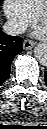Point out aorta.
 <instances>
[{"label":"aorta","mask_w":47,"mask_h":129,"mask_svg":"<svg viewBox=\"0 0 47 129\" xmlns=\"http://www.w3.org/2000/svg\"><path fill=\"white\" fill-rule=\"evenodd\" d=\"M34 56L40 64L46 65V63H47V44L46 43H38L34 48Z\"/></svg>","instance_id":"762f6f07"}]
</instances>
